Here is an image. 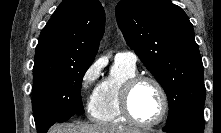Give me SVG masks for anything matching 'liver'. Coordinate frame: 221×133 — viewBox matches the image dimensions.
Here are the masks:
<instances>
[{
  "mask_svg": "<svg viewBox=\"0 0 221 133\" xmlns=\"http://www.w3.org/2000/svg\"><path fill=\"white\" fill-rule=\"evenodd\" d=\"M49 133H142V131L132 127L104 123H69L55 125Z\"/></svg>",
  "mask_w": 221,
  "mask_h": 133,
  "instance_id": "liver-1",
  "label": "liver"
}]
</instances>
